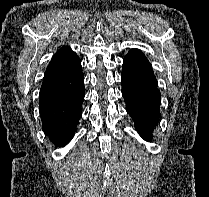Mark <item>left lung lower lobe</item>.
<instances>
[{
  "instance_id": "obj_1",
  "label": "left lung lower lobe",
  "mask_w": 209,
  "mask_h": 197,
  "mask_svg": "<svg viewBox=\"0 0 209 197\" xmlns=\"http://www.w3.org/2000/svg\"><path fill=\"white\" fill-rule=\"evenodd\" d=\"M122 95L127 113L143 139L150 141L160 117L161 95L152 66L138 49H132L123 60Z\"/></svg>"
}]
</instances>
